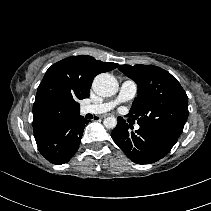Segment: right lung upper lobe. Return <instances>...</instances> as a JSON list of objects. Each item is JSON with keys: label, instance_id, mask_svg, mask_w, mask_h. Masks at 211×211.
<instances>
[{"label": "right lung upper lobe", "instance_id": "1", "mask_svg": "<svg viewBox=\"0 0 211 211\" xmlns=\"http://www.w3.org/2000/svg\"><path fill=\"white\" fill-rule=\"evenodd\" d=\"M117 66L86 55L71 56L52 65L33 104L34 134L79 115L78 101L89 97L94 77Z\"/></svg>", "mask_w": 211, "mask_h": 211}]
</instances>
